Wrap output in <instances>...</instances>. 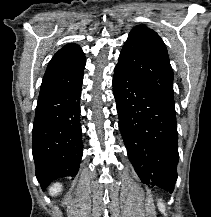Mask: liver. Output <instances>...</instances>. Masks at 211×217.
I'll return each instance as SVG.
<instances>
[{"instance_id": "obj_1", "label": "liver", "mask_w": 211, "mask_h": 217, "mask_svg": "<svg viewBox=\"0 0 211 217\" xmlns=\"http://www.w3.org/2000/svg\"><path fill=\"white\" fill-rule=\"evenodd\" d=\"M61 190H62V185L57 183L50 187L49 193L50 195L55 196L56 194L61 192Z\"/></svg>"}]
</instances>
